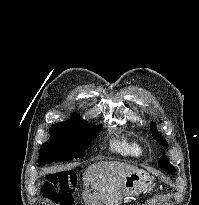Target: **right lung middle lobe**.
Instances as JSON below:
<instances>
[{
    "label": "right lung middle lobe",
    "instance_id": "right-lung-middle-lobe-1",
    "mask_svg": "<svg viewBox=\"0 0 199 205\" xmlns=\"http://www.w3.org/2000/svg\"><path fill=\"white\" fill-rule=\"evenodd\" d=\"M71 116L68 121L50 127V138L40 148L41 167L54 161L83 157L91 141L101 131V125H91L77 113Z\"/></svg>",
    "mask_w": 199,
    "mask_h": 205
}]
</instances>
